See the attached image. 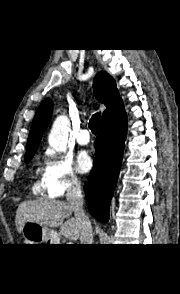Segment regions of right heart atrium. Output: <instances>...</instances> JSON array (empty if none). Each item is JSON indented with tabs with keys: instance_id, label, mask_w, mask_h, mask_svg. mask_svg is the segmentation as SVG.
Returning <instances> with one entry per match:
<instances>
[{
	"instance_id": "1",
	"label": "right heart atrium",
	"mask_w": 180,
	"mask_h": 294,
	"mask_svg": "<svg viewBox=\"0 0 180 294\" xmlns=\"http://www.w3.org/2000/svg\"><path fill=\"white\" fill-rule=\"evenodd\" d=\"M42 185L47 197L60 198L78 189L81 181L69 157L47 153L42 169Z\"/></svg>"
}]
</instances>
